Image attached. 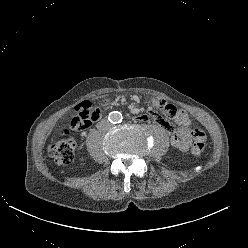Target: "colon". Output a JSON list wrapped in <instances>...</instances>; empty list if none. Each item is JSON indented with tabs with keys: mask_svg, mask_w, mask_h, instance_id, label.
I'll return each mask as SVG.
<instances>
[{
	"mask_svg": "<svg viewBox=\"0 0 248 248\" xmlns=\"http://www.w3.org/2000/svg\"><path fill=\"white\" fill-rule=\"evenodd\" d=\"M98 108H94L90 102L79 103L71 116V128L75 131H84L90 127L97 118ZM193 143L191 152L200 156L203 154L206 145L205 133L200 129L191 132ZM76 142L68 136L66 131L62 132L59 138L48 147V152L59 165H68L74 159Z\"/></svg>",
	"mask_w": 248,
	"mask_h": 248,
	"instance_id": "1",
	"label": "colon"
}]
</instances>
